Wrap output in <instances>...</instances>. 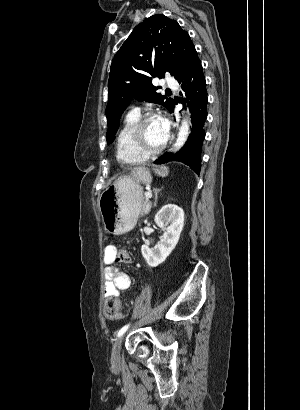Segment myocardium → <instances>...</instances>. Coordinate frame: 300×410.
<instances>
[{
	"label": "myocardium",
	"mask_w": 300,
	"mask_h": 410,
	"mask_svg": "<svg viewBox=\"0 0 300 410\" xmlns=\"http://www.w3.org/2000/svg\"><path fill=\"white\" fill-rule=\"evenodd\" d=\"M153 118H156V115L153 113H147L140 116L134 124L131 132V141L133 146L138 152L142 153L147 157L162 152L167 147L168 142L170 140V137L167 136L164 143L158 147H149L146 145L144 140V126L149 120Z\"/></svg>",
	"instance_id": "1"
}]
</instances>
